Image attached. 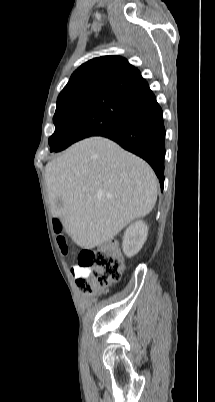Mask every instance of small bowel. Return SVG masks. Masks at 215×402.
I'll return each instance as SVG.
<instances>
[{
	"mask_svg": "<svg viewBox=\"0 0 215 402\" xmlns=\"http://www.w3.org/2000/svg\"><path fill=\"white\" fill-rule=\"evenodd\" d=\"M71 273L73 277L77 280L79 278H85L90 274V269L88 268H82L78 265H75L71 269Z\"/></svg>",
	"mask_w": 215,
	"mask_h": 402,
	"instance_id": "1",
	"label": "small bowel"
}]
</instances>
